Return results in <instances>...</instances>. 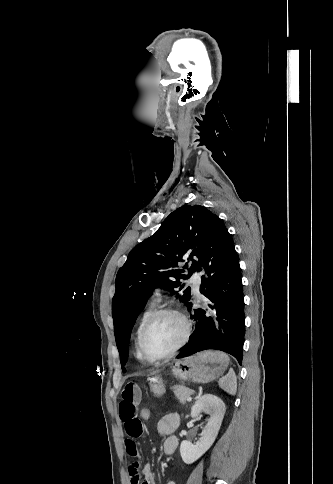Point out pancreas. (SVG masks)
<instances>
[{
	"label": "pancreas",
	"instance_id": "pancreas-1",
	"mask_svg": "<svg viewBox=\"0 0 333 484\" xmlns=\"http://www.w3.org/2000/svg\"><path fill=\"white\" fill-rule=\"evenodd\" d=\"M171 389L181 403H184L194 393L192 389L187 388L184 385H175Z\"/></svg>",
	"mask_w": 333,
	"mask_h": 484
}]
</instances>
